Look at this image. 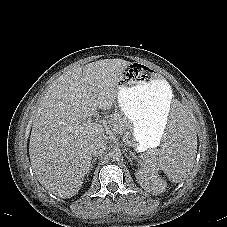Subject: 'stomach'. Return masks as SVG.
Returning <instances> with one entry per match:
<instances>
[{"label": "stomach", "mask_w": 227, "mask_h": 227, "mask_svg": "<svg viewBox=\"0 0 227 227\" xmlns=\"http://www.w3.org/2000/svg\"><path fill=\"white\" fill-rule=\"evenodd\" d=\"M172 96L166 79L146 66L131 64L122 71L118 105L132 124L134 146L138 151L156 146L163 138Z\"/></svg>", "instance_id": "0dacf381"}]
</instances>
